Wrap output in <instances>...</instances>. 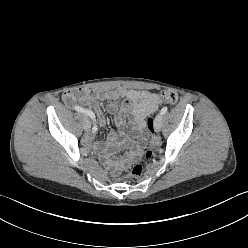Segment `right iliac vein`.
<instances>
[{
  "instance_id": "obj_1",
  "label": "right iliac vein",
  "mask_w": 248,
  "mask_h": 248,
  "mask_svg": "<svg viewBox=\"0 0 248 248\" xmlns=\"http://www.w3.org/2000/svg\"><path fill=\"white\" fill-rule=\"evenodd\" d=\"M83 126H84V129L86 131H88L90 128V121H89V118L87 116L83 117Z\"/></svg>"
}]
</instances>
